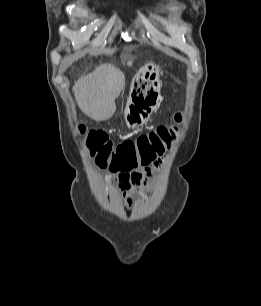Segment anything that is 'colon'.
Wrapping results in <instances>:
<instances>
[{
  "label": "colon",
  "instance_id": "obj_1",
  "mask_svg": "<svg viewBox=\"0 0 261 306\" xmlns=\"http://www.w3.org/2000/svg\"><path fill=\"white\" fill-rule=\"evenodd\" d=\"M174 119L180 123L181 113H176ZM78 132L84 137L85 152L99 167L111 171H131L155 163L171 147L178 128L176 125H160L135 139L117 144L102 131L79 127Z\"/></svg>",
  "mask_w": 261,
  "mask_h": 306
}]
</instances>
